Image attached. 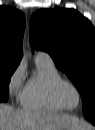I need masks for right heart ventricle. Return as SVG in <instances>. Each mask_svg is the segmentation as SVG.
<instances>
[{
    "mask_svg": "<svg viewBox=\"0 0 95 130\" xmlns=\"http://www.w3.org/2000/svg\"><path fill=\"white\" fill-rule=\"evenodd\" d=\"M35 61L36 72L26 81L20 94L22 106L56 112L64 110L53 95V86L61 79L58 69L52 61Z\"/></svg>",
    "mask_w": 95,
    "mask_h": 130,
    "instance_id": "obj_1",
    "label": "right heart ventricle"
}]
</instances>
